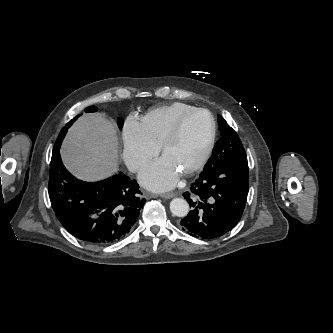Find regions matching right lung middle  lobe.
Segmentation results:
<instances>
[{
  "label": "right lung middle lobe",
  "mask_w": 333,
  "mask_h": 333,
  "mask_svg": "<svg viewBox=\"0 0 333 333\" xmlns=\"http://www.w3.org/2000/svg\"><path fill=\"white\" fill-rule=\"evenodd\" d=\"M92 107H88L87 109H86V112H90V109H91ZM79 117V115H77L75 118H73L69 123H67L66 124V126L64 127V128H68V127H70L76 120H77V118ZM123 124H124V121H123V119H119V122H118V125H119V127L120 128H122V126H123ZM64 128L61 130V132H60V134L61 133H63V135L62 136H65V134H66V132H67V130L64 132ZM56 143H57V141H56ZM56 143H55V145H56ZM57 146H54V149L56 148ZM58 148V147H57ZM53 149V150H54Z\"/></svg>",
  "instance_id": "1"
}]
</instances>
